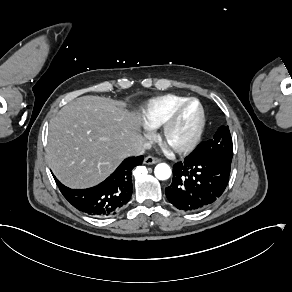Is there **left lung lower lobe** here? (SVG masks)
I'll list each match as a JSON object with an SVG mask.
<instances>
[{
  "label": "left lung lower lobe",
  "mask_w": 292,
  "mask_h": 292,
  "mask_svg": "<svg viewBox=\"0 0 292 292\" xmlns=\"http://www.w3.org/2000/svg\"><path fill=\"white\" fill-rule=\"evenodd\" d=\"M230 158L201 157L194 150L173 166V180L165 188L169 202L185 212L212 205L224 192L231 170Z\"/></svg>",
  "instance_id": "left-lung-lower-lobe-1"
}]
</instances>
